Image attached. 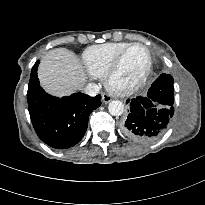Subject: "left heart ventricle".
<instances>
[{
	"label": "left heart ventricle",
	"mask_w": 205,
	"mask_h": 205,
	"mask_svg": "<svg viewBox=\"0 0 205 205\" xmlns=\"http://www.w3.org/2000/svg\"><path fill=\"white\" fill-rule=\"evenodd\" d=\"M147 64V51L140 46L133 47L125 55L120 69L114 78V83L117 85H128L135 82L144 72Z\"/></svg>",
	"instance_id": "1"
}]
</instances>
